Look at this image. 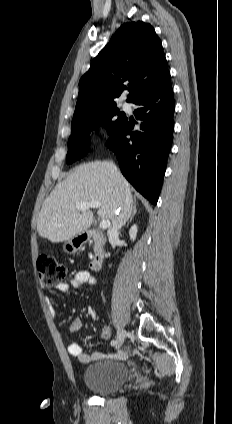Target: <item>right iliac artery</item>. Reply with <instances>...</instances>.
Returning <instances> with one entry per match:
<instances>
[{
  "instance_id": "82829eb1",
  "label": "right iliac artery",
  "mask_w": 232,
  "mask_h": 424,
  "mask_svg": "<svg viewBox=\"0 0 232 424\" xmlns=\"http://www.w3.org/2000/svg\"><path fill=\"white\" fill-rule=\"evenodd\" d=\"M111 345H113V346L116 345V340H112Z\"/></svg>"
}]
</instances>
